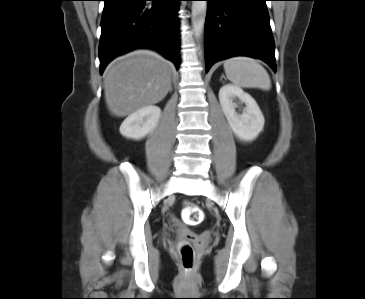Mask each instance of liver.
<instances>
[{
  "label": "liver",
  "mask_w": 365,
  "mask_h": 299,
  "mask_svg": "<svg viewBox=\"0 0 365 299\" xmlns=\"http://www.w3.org/2000/svg\"><path fill=\"white\" fill-rule=\"evenodd\" d=\"M172 71V63L149 50H137L115 59L104 73L109 111L125 117L159 103L170 91Z\"/></svg>",
  "instance_id": "6515ba94"
}]
</instances>
